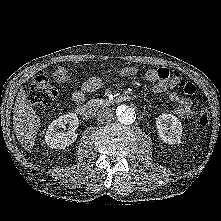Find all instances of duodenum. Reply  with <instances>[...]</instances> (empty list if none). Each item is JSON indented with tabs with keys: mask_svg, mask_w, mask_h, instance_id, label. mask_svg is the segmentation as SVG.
Instances as JSON below:
<instances>
[{
	"mask_svg": "<svg viewBox=\"0 0 221 221\" xmlns=\"http://www.w3.org/2000/svg\"><path fill=\"white\" fill-rule=\"evenodd\" d=\"M134 99L133 95L130 94H119L117 95L115 102L120 103V102H127V101H132ZM101 103L98 104H83L79 105L76 108V112L78 115H80L83 118L89 119L93 116L95 107L97 105H100Z\"/></svg>",
	"mask_w": 221,
	"mask_h": 221,
	"instance_id": "1",
	"label": "duodenum"
}]
</instances>
